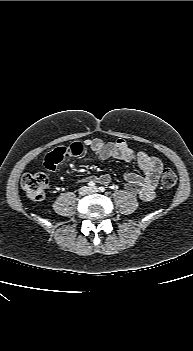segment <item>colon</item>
Returning a JSON list of instances; mask_svg holds the SVG:
<instances>
[{"instance_id":"1","label":"colon","mask_w":193,"mask_h":351,"mask_svg":"<svg viewBox=\"0 0 193 351\" xmlns=\"http://www.w3.org/2000/svg\"><path fill=\"white\" fill-rule=\"evenodd\" d=\"M177 183V175L171 169H164L161 184L165 188H173ZM48 185V178L42 172L28 173L21 178V187L25 194L33 200H42Z\"/></svg>"}]
</instances>
